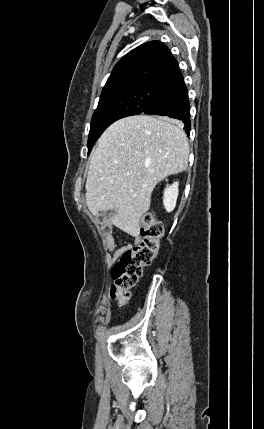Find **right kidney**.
Wrapping results in <instances>:
<instances>
[{"instance_id": "ca27d5eb", "label": "right kidney", "mask_w": 264, "mask_h": 429, "mask_svg": "<svg viewBox=\"0 0 264 429\" xmlns=\"http://www.w3.org/2000/svg\"><path fill=\"white\" fill-rule=\"evenodd\" d=\"M178 182L168 185L164 190L163 204L167 212H172L176 206L178 197Z\"/></svg>"}]
</instances>
